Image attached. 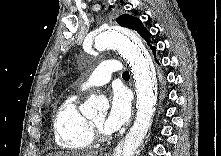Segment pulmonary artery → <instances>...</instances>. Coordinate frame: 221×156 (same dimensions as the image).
Listing matches in <instances>:
<instances>
[{"mask_svg": "<svg viewBox=\"0 0 221 156\" xmlns=\"http://www.w3.org/2000/svg\"><path fill=\"white\" fill-rule=\"evenodd\" d=\"M122 66L119 61L114 59L104 60L95 70L82 82L80 89L82 91H89L95 87L108 83L111 76L115 72H120Z\"/></svg>", "mask_w": 221, "mask_h": 156, "instance_id": "pulmonary-artery-1", "label": "pulmonary artery"}]
</instances>
